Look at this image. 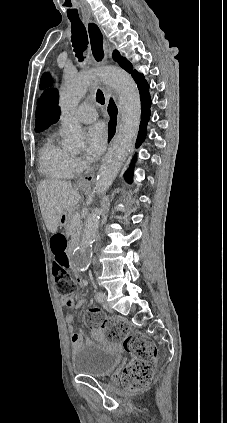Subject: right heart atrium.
I'll return each mask as SVG.
<instances>
[{"mask_svg": "<svg viewBox=\"0 0 227 423\" xmlns=\"http://www.w3.org/2000/svg\"><path fill=\"white\" fill-rule=\"evenodd\" d=\"M87 169L85 160L78 156L72 155L69 161V175L70 177H77Z\"/></svg>", "mask_w": 227, "mask_h": 423, "instance_id": "1", "label": "right heart atrium"}]
</instances>
